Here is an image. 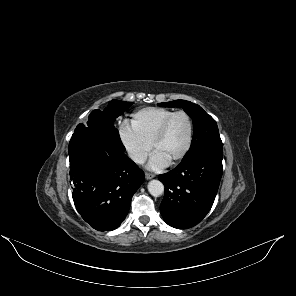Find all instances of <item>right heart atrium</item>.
I'll list each match as a JSON object with an SVG mask.
<instances>
[{"label":"right heart atrium","mask_w":296,"mask_h":296,"mask_svg":"<svg viewBox=\"0 0 296 296\" xmlns=\"http://www.w3.org/2000/svg\"><path fill=\"white\" fill-rule=\"evenodd\" d=\"M119 136L129 158L137 164H142L150 152V144L146 143L129 126H122L119 130Z\"/></svg>","instance_id":"d8ad5b80"}]
</instances>
